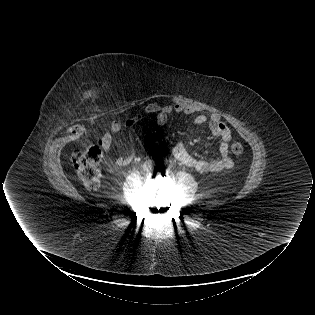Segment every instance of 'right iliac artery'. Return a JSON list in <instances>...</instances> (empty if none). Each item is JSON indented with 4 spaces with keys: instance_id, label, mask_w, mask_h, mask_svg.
<instances>
[{
    "instance_id": "right-iliac-artery-1",
    "label": "right iliac artery",
    "mask_w": 315,
    "mask_h": 315,
    "mask_svg": "<svg viewBox=\"0 0 315 315\" xmlns=\"http://www.w3.org/2000/svg\"><path fill=\"white\" fill-rule=\"evenodd\" d=\"M157 161H160V159H159V158H157Z\"/></svg>"
}]
</instances>
